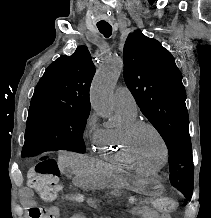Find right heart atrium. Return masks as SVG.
Returning a JSON list of instances; mask_svg holds the SVG:
<instances>
[{"label": "right heart atrium", "mask_w": 211, "mask_h": 218, "mask_svg": "<svg viewBox=\"0 0 211 218\" xmlns=\"http://www.w3.org/2000/svg\"><path fill=\"white\" fill-rule=\"evenodd\" d=\"M85 129L90 134L93 143H96L102 133V128L99 125L98 116L92 113L85 122Z\"/></svg>", "instance_id": "obj_1"}]
</instances>
